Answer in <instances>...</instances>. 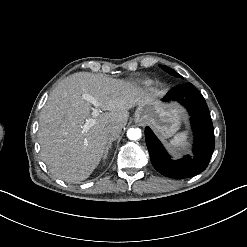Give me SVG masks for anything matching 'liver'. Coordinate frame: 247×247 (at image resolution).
<instances>
[{
  "mask_svg": "<svg viewBox=\"0 0 247 247\" xmlns=\"http://www.w3.org/2000/svg\"><path fill=\"white\" fill-rule=\"evenodd\" d=\"M146 86L103 74L74 73L63 79L50 93L39 116L38 142L41 157L49 171L68 183L87 179L98 166L109 136L105 129L125 127L128 110L152 97ZM87 93L109 111L97 116L96 123L84 129L91 104L82 98Z\"/></svg>",
  "mask_w": 247,
  "mask_h": 247,
  "instance_id": "obj_1",
  "label": "liver"
}]
</instances>
